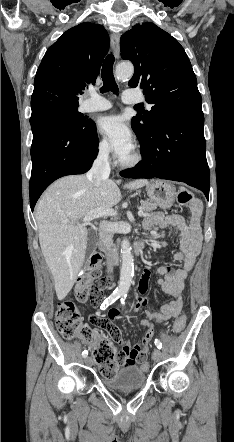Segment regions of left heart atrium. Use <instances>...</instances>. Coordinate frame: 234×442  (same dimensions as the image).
Listing matches in <instances>:
<instances>
[{
    "mask_svg": "<svg viewBox=\"0 0 234 442\" xmlns=\"http://www.w3.org/2000/svg\"><path fill=\"white\" fill-rule=\"evenodd\" d=\"M101 132L120 159L125 158L133 151V133L124 117L120 115L106 116L101 122Z\"/></svg>",
    "mask_w": 234,
    "mask_h": 442,
    "instance_id": "left-heart-atrium-1",
    "label": "left heart atrium"
}]
</instances>
